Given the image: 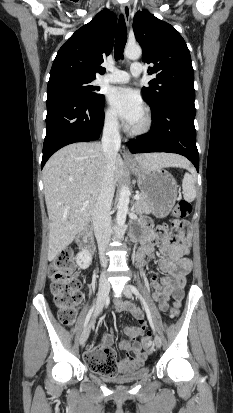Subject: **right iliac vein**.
<instances>
[{
    "label": "right iliac vein",
    "instance_id": "1",
    "mask_svg": "<svg viewBox=\"0 0 233 413\" xmlns=\"http://www.w3.org/2000/svg\"><path fill=\"white\" fill-rule=\"evenodd\" d=\"M109 290H110V285L109 282L106 279H102L100 282V286H99V292H98V299H97V306L94 312V317L91 320V322L89 323V325L83 330L81 336H80V345H83L90 334V330L91 327L93 325L94 322V318L99 314V312L102 310V307L106 301V298L109 294Z\"/></svg>",
    "mask_w": 233,
    "mask_h": 413
}]
</instances>
